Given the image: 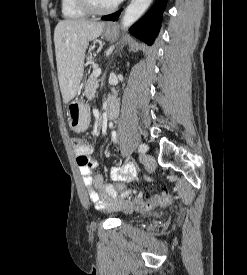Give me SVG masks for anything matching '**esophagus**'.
<instances>
[{
	"mask_svg": "<svg viewBox=\"0 0 247 275\" xmlns=\"http://www.w3.org/2000/svg\"><path fill=\"white\" fill-rule=\"evenodd\" d=\"M107 27H109V28L114 27V23H109V24L107 25Z\"/></svg>",
	"mask_w": 247,
	"mask_h": 275,
	"instance_id": "esophagus-1",
	"label": "esophagus"
}]
</instances>
